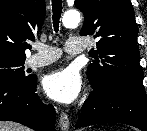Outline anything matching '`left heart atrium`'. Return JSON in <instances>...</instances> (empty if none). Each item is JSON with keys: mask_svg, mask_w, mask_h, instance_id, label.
I'll list each match as a JSON object with an SVG mask.
<instances>
[{"mask_svg": "<svg viewBox=\"0 0 147 131\" xmlns=\"http://www.w3.org/2000/svg\"><path fill=\"white\" fill-rule=\"evenodd\" d=\"M43 89L52 99L69 104L79 97L82 90V79L75 69L60 68L46 76Z\"/></svg>", "mask_w": 147, "mask_h": 131, "instance_id": "39dd6f15", "label": "left heart atrium"}]
</instances>
